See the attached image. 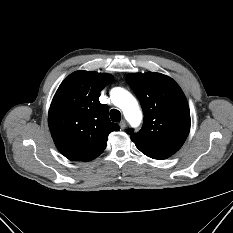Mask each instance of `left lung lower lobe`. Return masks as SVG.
<instances>
[{"instance_id": "obj_1", "label": "left lung lower lobe", "mask_w": 233, "mask_h": 233, "mask_svg": "<svg viewBox=\"0 0 233 233\" xmlns=\"http://www.w3.org/2000/svg\"><path fill=\"white\" fill-rule=\"evenodd\" d=\"M140 151L144 153L146 156L153 158V159H158V160L166 159L170 157L171 155H173V154L163 153V152H153V151H144V150H140Z\"/></svg>"}]
</instances>
